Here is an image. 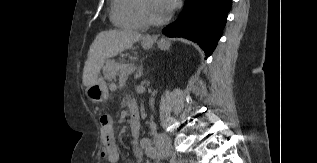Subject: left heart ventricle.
<instances>
[{"instance_id": "1", "label": "left heart ventricle", "mask_w": 317, "mask_h": 163, "mask_svg": "<svg viewBox=\"0 0 317 163\" xmlns=\"http://www.w3.org/2000/svg\"><path fill=\"white\" fill-rule=\"evenodd\" d=\"M147 9L149 10L150 14L157 18H163L168 15V12L164 8L161 0H145Z\"/></svg>"}]
</instances>
